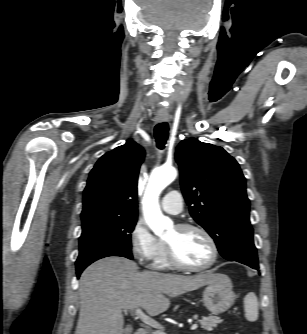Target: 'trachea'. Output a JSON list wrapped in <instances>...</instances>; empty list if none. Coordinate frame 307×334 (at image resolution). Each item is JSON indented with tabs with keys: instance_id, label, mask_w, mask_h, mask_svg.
Segmentation results:
<instances>
[{
	"instance_id": "3493384b",
	"label": "trachea",
	"mask_w": 307,
	"mask_h": 334,
	"mask_svg": "<svg viewBox=\"0 0 307 334\" xmlns=\"http://www.w3.org/2000/svg\"><path fill=\"white\" fill-rule=\"evenodd\" d=\"M169 127L166 122L159 123L155 126L154 135L157 147L162 150L165 147L166 141L168 139Z\"/></svg>"
}]
</instances>
